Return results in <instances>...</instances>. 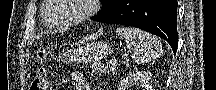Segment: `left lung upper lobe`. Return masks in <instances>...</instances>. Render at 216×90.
<instances>
[{"label":"left lung upper lobe","instance_id":"obj_1","mask_svg":"<svg viewBox=\"0 0 216 90\" xmlns=\"http://www.w3.org/2000/svg\"><path fill=\"white\" fill-rule=\"evenodd\" d=\"M121 0H101V3L103 4L102 10H100L99 13L107 11L114 6H116Z\"/></svg>","mask_w":216,"mask_h":90}]
</instances>
